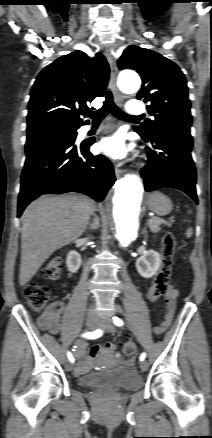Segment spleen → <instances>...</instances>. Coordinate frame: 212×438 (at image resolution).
<instances>
[{
  "mask_svg": "<svg viewBox=\"0 0 212 438\" xmlns=\"http://www.w3.org/2000/svg\"><path fill=\"white\" fill-rule=\"evenodd\" d=\"M192 234H193L192 228H188L186 231V237L190 238L192 236Z\"/></svg>",
  "mask_w": 212,
  "mask_h": 438,
  "instance_id": "3e777b00",
  "label": "spleen"
}]
</instances>
